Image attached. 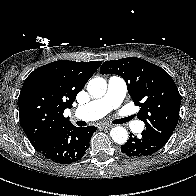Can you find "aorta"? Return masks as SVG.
<instances>
[{
    "label": "aorta",
    "instance_id": "obj_1",
    "mask_svg": "<svg viewBox=\"0 0 196 196\" xmlns=\"http://www.w3.org/2000/svg\"><path fill=\"white\" fill-rule=\"evenodd\" d=\"M107 90V83L104 78H93L88 82L87 91L94 98H101ZM110 136L117 144H124L128 140V132L125 128L117 126L111 129Z\"/></svg>",
    "mask_w": 196,
    "mask_h": 196
}]
</instances>
